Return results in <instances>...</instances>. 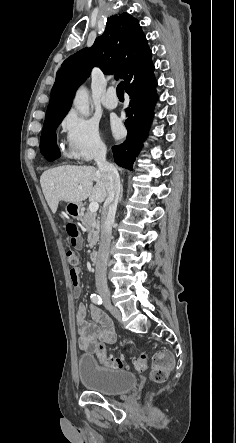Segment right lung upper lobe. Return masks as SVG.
Masks as SVG:
<instances>
[{"label": "right lung upper lobe", "instance_id": "1", "mask_svg": "<svg viewBox=\"0 0 236 443\" xmlns=\"http://www.w3.org/2000/svg\"><path fill=\"white\" fill-rule=\"evenodd\" d=\"M150 50L137 19L128 13L107 19L102 36L91 48L67 58L57 72L45 120L70 109L74 92L89 76L92 67L105 74H115L126 83L151 63Z\"/></svg>", "mask_w": 236, "mask_h": 443}]
</instances>
